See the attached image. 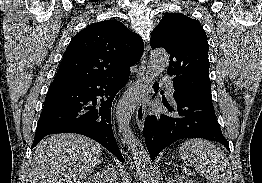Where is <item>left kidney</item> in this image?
Masks as SVG:
<instances>
[{"mask_svg": "<svg viewBox=\"0 0 262 183\" xmlns=\"http://www.w3.org/2000/svg\"><path fill=\"white\" fill-rule=\"evenodd\" d=\"M168 183H198L192 179H188L185 176H175L173 178H169Z\"/></svg>", "mask_w": 262, "mask_h": 183, "instance_id": "5707ae66", "label": "left kidney"}]
</instances>
